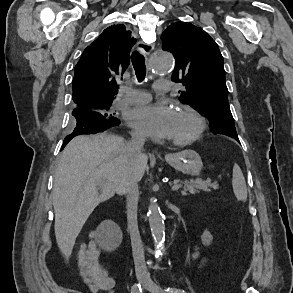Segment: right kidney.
Here are the masks:
<instances>
[{"label": "right kidney", "instance_id": "right-kidney-1", "mask_svg": "<svg viewBox=\"0 0 293 293\" xmlns=\"http://www.w3.org/2000/svg\"><path fill=\"white\" fill-rule=\"evenodd\" d=\"M122 242V232L120 228L113 223L107 225L106 235L101 246L106 251L115 250Z\"/></svg>", "mask_w": 293, "mask_h": 293}]
</instances>
